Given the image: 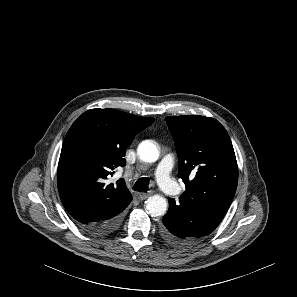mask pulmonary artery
I'll return each mask as SVG.
<instances>
[{
    "mask_svg": "<svg viewBox=\"0 0 297 297\" xmlns=\"http://www.w3.org/2000/svg\"><path fill=\"white\" fill-rule=\"evenodd\" d=\"M173 167V157L167 154L161 158L156 169V180L159 186L169 195L177 193L176 183L171 179L170 174Z\"/></svg>",
    "mask_w": 297,
    "mask_h": 297,
    "instance_id": "1",
    "label": "pulmonary artery"
}]
</instances>
